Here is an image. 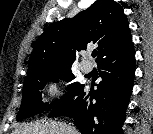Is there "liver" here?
<instances>
[{"label":"liver","mask_w":153,"mask_h":134,"mask_svg":"<svg viewBox=\"0 0 153 134\" xmlns=\"http://www.w3.org/2000/svg\"><path fill=\"white\" fill-rule=\"evenodd\" d=\"M13 134H78L75 128L56 121H42L17 128Z\"/></svg>","instance_id":"obj_1"}]
</instances>
